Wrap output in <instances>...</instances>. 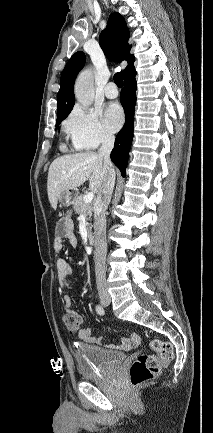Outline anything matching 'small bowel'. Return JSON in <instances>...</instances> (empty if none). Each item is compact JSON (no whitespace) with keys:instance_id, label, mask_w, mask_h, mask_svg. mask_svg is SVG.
I'll use <instances>...</instances> for the list:
<instances>
[{"instance_id":"1","label":"small bowel","mask_w":213,"mask_h":433,"mask_svg":"<svg viewBox=\"0 0 213 433\" xmlns=\"http://www.w3.org/2000/svg\"><path fill=\"white\" fill-rule=\"evenodd\" d=\"M64 239H67L71 245H77V240L74 234V225L73 221L65 217L61 219L55 228V238L53 242V248L55 252L59 253L64 246ZM56 270L58 283L60 287L64 290L71 289L70 277L72 276V266L71 264L64 258H57L56 260ZM63 307L65 311H74L71 308V299L70 296L63 292L62 295ZM78 337L88 343H100L101 338H96L92 335V330L89 327L82 328L78 332ZM140 343V337L138 334L133 333L129 338L125 339L118 347L122 350H129Z\"/></svg>"}]
</instances>
